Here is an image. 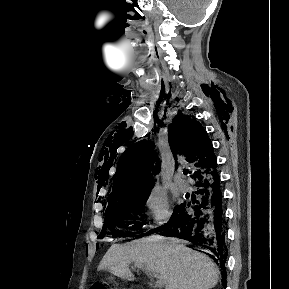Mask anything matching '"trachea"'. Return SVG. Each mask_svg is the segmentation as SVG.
I'll return each instance as SVG.
<instances>
[{"label": "trachea", "mask_w": 289, "mask_h": 289, "mask_svg": "<svg viewBox=\"0 0 289 289\" xmlns=\"http://www.w3.org/2000/svg\"><path fill=\"white\" fill-rule=\"evenodd\" d=\"M189 173L188 170H184V174L187 175Z\"/></svg>", "instance_id": "trachea-1"}]
</instances>
